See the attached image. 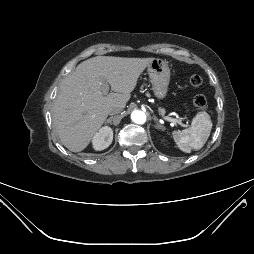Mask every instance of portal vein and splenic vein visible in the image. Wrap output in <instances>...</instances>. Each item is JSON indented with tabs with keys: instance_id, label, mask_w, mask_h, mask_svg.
Here are the masks:
<instances>
[{
	"instance_id": "1",
	"label": "portal vein and splenic vein",
	"mask_w": 254,
	"mask_h": 254,
	"mask_svg": "<svg viewBox=\"0 0 254 254\" xmlns=\"http://www.w3.org/2000/svg\"><path fill=\"white\" fill-rule=\"evenodd\" d=\"M109 91V85L108 84H104L103 86V90H102V93L103 94H107ZM161 117L167 121H170V122H173V123H178L179 125L183 126V127H186L185 124L182 123V120L179 118V119H174V118H170L168 116H164V115H161Z\"/></svg>"
}]
</instances>
